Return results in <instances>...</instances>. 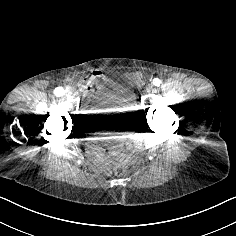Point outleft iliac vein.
<instances>
[{
    "label": "left iliac vein",
    "mask_w": 236,
    "mask_h": 236,
    "mask_svg": "<svg viewBox=\"0 0 236 236\" xmlns=\"http://www.w3.org/2000/svg\"><path fill=\"white\" fill-rule=\"evenodd\" d=\"M145 91L149 94L152 95L155 92V89L151 85H146L145 86Z\"/></svg>",
    "instance_id": "left-iliac-vein-1"
}]
</instances>
